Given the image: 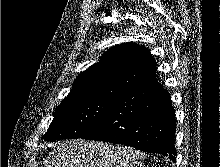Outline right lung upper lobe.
<instances>
[{
    "mask_svg": "<svg viewBox=\"0 0 220 167\" xmlns=\"http://www.w3.org/2000/svg\"><path fill=\"white\" fill-rule=\"evenodd\" d=\"M156 63L149 51L136 43L110 48L74 81L65 99L90 96L116 98L139 87L157 82Z\"/></svg>",
    "mask_w": 220,
    "mask_h": 167,
    "instance_id": "cb5924a9",
    "label": "right lung upper lobe"
}]
</instances>
